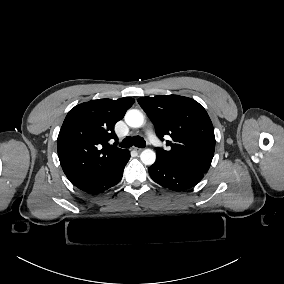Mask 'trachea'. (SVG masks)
I'll use <instances>...</instances> for the list:
<instances>
[{
    "instance_id": "3493384b",
    "label": "trachea",
    "mask_w": 284,
    "mask_h": 284,
    "mask_svg": "<svg viewBox=\"0 0 284 284\" xmlns=\"http://www.w3.org/2000/svg\"><path fill=\"white\" fill-rule=\"evenodd\" d=\"M135 146V147H145V140L140 137V136H134V137H131V136H127L121 143V147H131V146Z\"/></svg>"
}]
</instances>
